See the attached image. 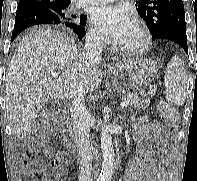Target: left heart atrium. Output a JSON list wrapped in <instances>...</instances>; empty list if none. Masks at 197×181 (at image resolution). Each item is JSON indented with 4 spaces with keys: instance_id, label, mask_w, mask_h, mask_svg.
<instances>
[{
    "instance_id": "39dd6f15",
    "label": "left heart atrium",
    "mask_w": 197,
    "mask_h": 181,
    "mask_svg": "<svg viewBox=\"0 0 197 181\" xmlns=\"http://www.w3.org/2000/svg\"><path fill=\"white\" fill-rule=\"evenodd\" d=\"M91 20L98 31L111 41L120 42L134 26V18L124 6L104 5L96 8Z\"/></svg>"
}]
</instances>
